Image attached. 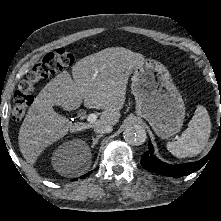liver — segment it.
Returning <instances> with one entry per match:
<instances>
[{
	"label": "liver",
	"mask_w": 221,
	"mask_h": 221,
	"mask_svg": "<svg viewBox=\"0 0 221 221\" xmlns=\"http://www.w3.org/2000/svg\"><path fill=\"white\" fill-rule=\"evenodd\" d=\"M144 56L123 47L103 49L80 59L72 67V76L63 71L39 92L19 130L20 151L31 166L42 151L64 137L93 128L96 124L116 125L126 99L128 79ZM85 107L102 109L93 123H72L53 106L66 111Z\"/></svg>",
	"instance_id": "obj_1"
}]
</instances>
